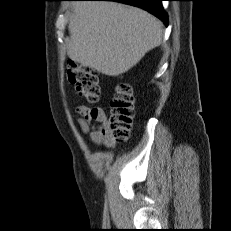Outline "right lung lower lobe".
<instances>
[{
  "instance_id": "1",
  "label": "right lung lower lobe",
  "mask_w": 231,
  "mask_h": 231,
  "mask_svg": "<svg viewBox=\"0 0 231 231\" xmlns=\"http://www.w3.org/2000/svg\"><path fill=\"white\" fill-rule=\"evenodd\" d=\"M80 1H115L125 4H130L133 6L140 7L152 13L153 15L161 19L166 26L168 25L167 14L164 12L163 7L161 5V1L163 0H80Z\"/></svg>"
}]
</instances>
